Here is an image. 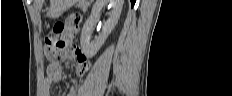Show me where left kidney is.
Returning a JSON list of instances; mask_svg holds the SVG:
<instances>
[{
	"label": "left kidney",
	"mask_w": 232,
	"mask_h": 96,
	"mask_svg": "<svg viewBox=\"0 0 232 96\" xmlns=\"http://www.w3.org/2000/svg\"><path fill=\"white\" fill-rule=\"evenodd\" d=\"M107 3L112 6V12L106 23H104L101 34L96 39L91 40L93 26L98 20L102 8ZM123 3L124 0H96L95 4L93 5L90 17L85 21L83 25L80 38L82 51L87 57L91 58L95 56V54L105 43L108 35L111 33L118 22Z\"/></svg>",
	"instance_id": "1"
}]
</instances>
